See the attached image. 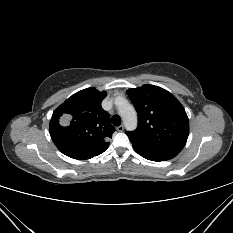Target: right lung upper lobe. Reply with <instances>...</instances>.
Masks as SVG:
<instances>
[{
	"label": "right lung upper lobe",
	"instance_id": "right-lung-upper-lobe-1",
	"mask_svg": "<svg viewBox=\"0 0 233 233\" xmlns=\"http://www.w3.org/2000/svg\"><path fill=\"white\" fill-rule=\"evenodd\" d=\"M105 97V91L87 88L72 95L53 112L49 131L63 154L83 160L108 148L115 127L101 107Z\"/></svg>",
	"mask_w": 233,
	"mask_h": 233
}]
</instances>
